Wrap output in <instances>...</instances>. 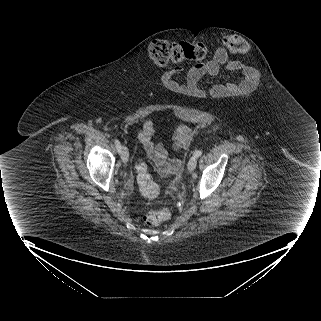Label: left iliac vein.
<instances>
[{
  "instance_id": "obj_1",
  "label": "left iliac vein",
  "mask_w": 321,
  "mask_h": 321,
  "mask_svg": "<svg viewBox=\"0 0 321 321\" xmlns=\"http://www.w3.org/2000/svg\"><path fill=\"white\" fill-rule=\"evenodd\" d=\"M197 165V157L196 156H192L188 162V170L190 172L194 171Z\"/></svg>"
}]
</instances>
